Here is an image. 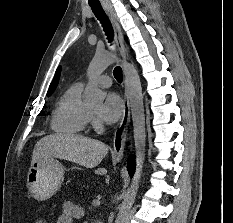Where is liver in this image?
<instances>
[{
    "label": "liver",
    "instance_id": "liver-1",
    "mask_svg": "<svg viewBox=\"0 0 233 223\" xmlns=\"http://www.w3.org/2000/svg\"><path fill=\"white\" fill-rule=\"evenodd\" d=\"M108 151L106 143L92 139V137H84L78 133H51V135H45L37 141L33 149L31 163L48 155V157L74 161L78 165L91 169V167H96L101 163ZM95 173L105 175L107 169L106 167H97Z\"/></svg>",
    "mask_w": 233,
    "mask_h": 223
}]
</instances>
